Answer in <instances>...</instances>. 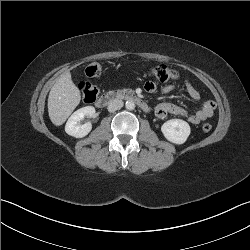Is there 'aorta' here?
I'll list each match as a JSON object with an SVG mask.
<instances>
[{
	"label": "aorta",
	"mask_w": 250,
	"mask_h": 250,
	"mask_svg": "<svg viewBox=\"0 0 250 250\" xmlns=\"http://www.w3.org/2000/svg\"><path fill=\"white\" fill-rule=\"evenodd\" d=\"M125 107L127 110H134L135 103L132 100H128V101H126Z\"/></svg>",
	"instance_id": "762f6f07"
}]
</instances>
